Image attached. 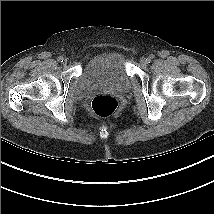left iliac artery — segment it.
<instances>
[{
	"label": "left iliac artery",
	"mask_w": 214,
	"mask_h": 214,
	"mask_svg": "<svg viewBox=\"0 0 214 214\" xmlns=\"http://www.w3.org/2000/svg\"><path fill=\"white\" fill-rule=\"evenodd\" d=\"M154 58V55L153 54H151L150 56H149V58H148V60H149V62L151 61V59H153ZM148 62V63H149Z\"/></svg>",
	"instance_id": "1"
}]
</instances>
